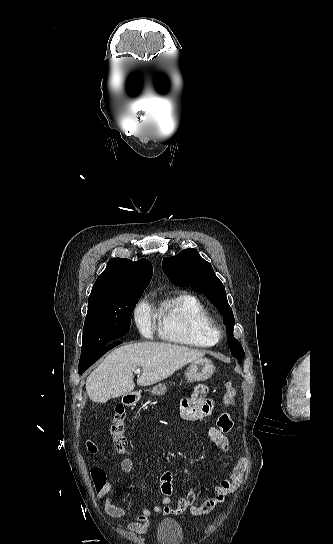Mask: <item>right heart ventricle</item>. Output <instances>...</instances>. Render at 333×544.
Returning <instances> with one entry per match:
<instances>
[{
	"instance_id": "e07e8e85",
	"label": "right heart ventricle",
	"mask_w": 333,
	"mask_h": 544,
	"mask_svg": "<svg viewBox=\"0 0 333 544\" xmlns=\"http://www.w3.org/2000/svg\"><path fill=\"white\" fill-rule=\"evenodd\" d=\"M163 339L197 348L214 346L213 318L194 294L181 292L162 301L158 310Z\"/></svg>"
}]
</instances>
